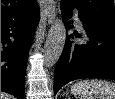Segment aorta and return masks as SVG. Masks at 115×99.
Returning a JSON list of instances; mask_svg holds the SVG:
<instances>
[{
    "instance_id": "762f6f07",
    "label": "aorta",
    "mask_w": 115,
    "mask_h": 99,
    "mask_svg": "<svg viewBox=\"0 0 115 99\" xmlns=\"http://www.w3.org/2000/svg\"><path fill=\"white\" fill-rule=\"evenodd\" d=\"M50 3L53 1L50 0ZM51 12H55L54 6L50 8ZM66 29L62 19L56 18L51 26L44 47V63L46 67H52L59 60L65 46Z\"/></svg>"
}]
</instances>
